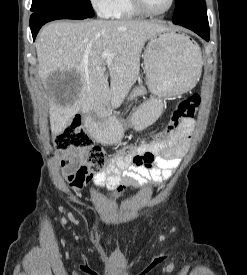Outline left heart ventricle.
I'll list each match as a JSON object with an SVG mask.
<instances>
[{
	"label": "left heart ventricle",
	"mask_w": 247,
	"mask_h": 275,
	"mask_svg": "<svg viewBox=\"0 0 247 275\" xmlns=\"http://www.w3.org/2000/svg\"><path fill=\"white\" fill-rule=\"evenodd\" d=\"M145 3L153 11H163L169 6L170 0H145Z\"/></svg>",
	"instance_id": "left-heart-ventricle-1"
}]
</instances>
